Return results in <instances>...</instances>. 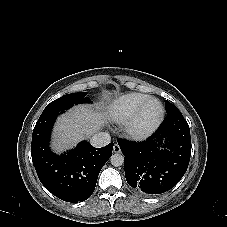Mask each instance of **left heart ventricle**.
Masks as SVG:
<instances>
[{
    "label": "left heart ventricle",
    "mask_w": 227,
    "mask_h": 227,
    "mask_svg": "<svg viewBox=\"0 0 227 227\" xmlns=\"http://www.w3.org/2000/svg\"><path fill=\"white\" fill-rule=\"evenodd\" d=\"M160 114V105L156 102H152L148 105L144 115V122H151L158 117Z\"/></svg>",
    "instance_id": "left-heart-ventricle-1"
}]
</instances>
